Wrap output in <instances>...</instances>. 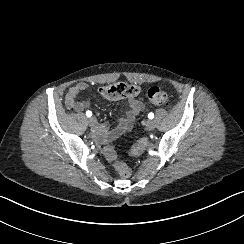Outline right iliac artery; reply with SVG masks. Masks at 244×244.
Masks as SVG:
<instances>
[{
    "mask_svg": "<svg viewBox=\"0 0 244 244\" xmlns=\"http://www.w3.org/2000/svg\"><path fill=\"white\" fill-rule=\"evenodd\" d=\"M86 116H87V117H91V116H92V112H91V111H87V112H86Z\"/></svg>",
    "mask_w": 244,
    "mask_h": 244,
    "instance_id": "obj_1",
    "label": "right iliac artery"
}]
</instances>
